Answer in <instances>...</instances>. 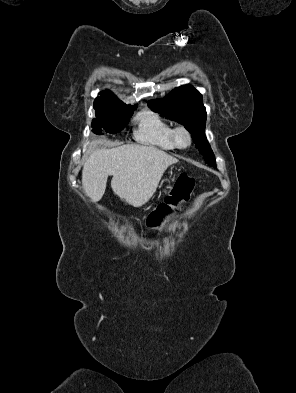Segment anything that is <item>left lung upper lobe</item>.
<instances>
[{"mask_svg": "<svg viewBox=\"0 0 296 393\" xmlns=\"http://www.w3.org/2000/svg\"><path fill=\"white\" fill-rule=\"evenodd\" d=\"M148 106L155 112L183 124L191 133L206 163L216 167L215 156L205 136L206 109L202 95L193 86L175 88L167 97L149 101Z\"/></svg>", "mask_w": 296, "mask_h": 393, "instance_id": "1", "label": "left lung upper lobe"}]
</instances>
